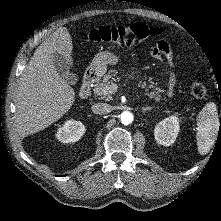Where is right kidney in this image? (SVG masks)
Masks as SVG:
<instances>
[{
  "mask_svg": "<svg viewBox=\"0 0 221 221\" xmlns=\"http://www.w3.org/2000/svg\"><path fill=\"white\" fill-rule=\"evenodd\" d=\"M85 133V126L80 121L69 120L58 129L57 139L62 143L78 141Z\"/></svg>",
  "mask_w": 221,
  "mask_h": 221,
  "instance_id": "obj_1",
  "label": "right kidney"
}]
</instances>
